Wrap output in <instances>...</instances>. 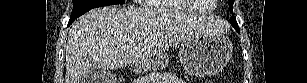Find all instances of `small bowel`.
<instances>
[{
  "label": "small bowel",
  "mask_w": 307,
  "mask_h": 83,
  "mask_svg": "<svg viewBox=\"0 0 307 83\" xmlns=\"http://www.w3.org/2000/svg\"><path fill=\"white\" fill-rule=\"evenodd\" d=\"M177 77L170 73H161L156 83H179Z\"/></svg>",
  "instance_id": "1"
}]
</instances>
